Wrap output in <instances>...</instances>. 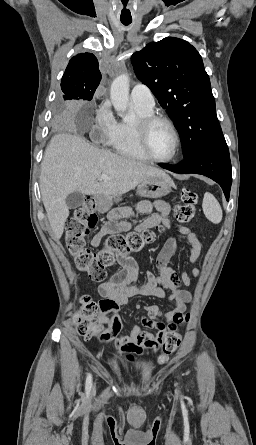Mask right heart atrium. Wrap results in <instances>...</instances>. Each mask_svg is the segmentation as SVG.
Here are the masks:
<instances>
[{"mask_svg":"<svg viewBox=\"0 0 256 445\" xmlns=\"http://www.w3.org/2000/svg\"><path fill=\"white\" fill-rule=\"evenodd\" d=\"M116 125L117 121L111 113L109 105L104 103L95 114L92 137L101 143L108 142L115 131Z\"/></svg>","mask_w":256,"mask_h":445,"instance_id":"1","label":"right heart atrium"}]
</instances>
